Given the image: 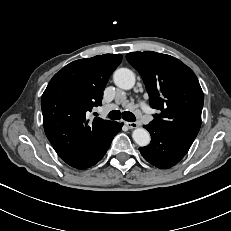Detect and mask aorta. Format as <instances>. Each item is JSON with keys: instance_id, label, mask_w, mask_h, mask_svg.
Returning <instances> with one entry per match:
<instances>
[{"instance_id": "aorta-1", "label": "aorta", "mask_w": 231, "mask_h": 231, "mask_svg": "<svg viewBox=\"0 0 231 231\" xmlns=\"http://www.w3.org/2000/svg\"><path fill=\"white\" fill-rule=\"evenodd\" d=\"M113 80L117 87L124 90H129L135 85V75L127 68L117 69L114 72ZM132 137L135 143L141 147L147 146L150 143V134L142 127L136 128L132 133Z\"/></svg>"}]
</instances>
